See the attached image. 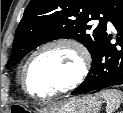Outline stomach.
Segmentation results:
<instances>
[{
	"instance_id": "0dacf381",
	"label": "stomach",
	"mask_w": 123,
	"mask_h": 113,
	"mask_svg": "<svg viewBox=\"0 0 123 113\" xmlns=\"http://www.w3.org/2000/svg\"><path fill=\"white\" fill-rule=\"evenodd\" d=\"M101 106L100 96L84 95L56 103L40 113H99Z\"/></svg>"
}]
</instances>
